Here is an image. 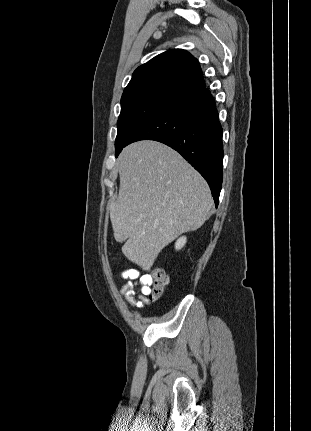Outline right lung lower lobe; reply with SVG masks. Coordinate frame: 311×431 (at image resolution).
<instances>
[{
    "label": "right lung lower lobe",
    "mask_w": 311,
    "mask_h": 431,
    "mask_svg": "<svg viewBox=\"0 0 311 431\" xmlns=\"http://www.w3.org/2000/svg\"><path fill=\"white\" fill-rule=\"evenodd\" d=\"M162 142L179 152L208 182L217 207L222 186V127L205 87L181 96L138 127L127 145ZM126 145V146H127Z\"/></svg>",
    "instance_id": "98d812e1"
}]
</instances>
